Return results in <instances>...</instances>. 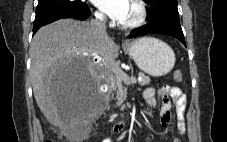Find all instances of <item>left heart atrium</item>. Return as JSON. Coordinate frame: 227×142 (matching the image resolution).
I'll use <instances>...</instances> for the list:
<instances>
[{"label":"left heart atrium","instance_id":"39dd6f15","mask_svg":"<svg viewBox=\"0 0 227 142\" xmlns=\"http://www.w3.org/2000/svg\"><path fill=\"white\" fill-rule=\"evenodd\" d=\"M111 19L122 22L129 11L132 0H92Z\"/></svg>","mask_w":227,"mask_h":142}]
</instances>
